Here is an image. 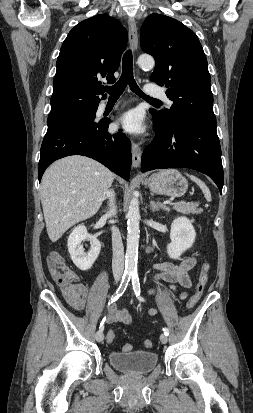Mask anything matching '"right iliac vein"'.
Here are the masks:
<instances>
[{
    "instance_id": "1",
    "label": "right iliac vein",
    "mask_w": 253,
    "mask_h": 413,
    "mask_svg": "<svg viewBox=\"0 0 253 413\" xmlns=\"http://www.w3.org/2000/svg\"><path fill=\"white\" fill-rule=\"evenodd\" d=\"M95 338L98 342H102L104 339V335L102 331H97L95 334Z\"/></svg>"
}]
</instances>
